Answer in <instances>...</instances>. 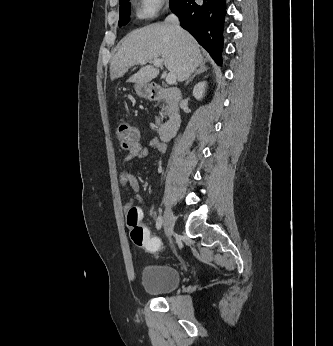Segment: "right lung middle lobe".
I'll list each match as a JSON object with an SVG mask.
<instances>
[{
  "label": "right lung middle lobe",
  "instance_id": "right-lung-middle-lobe-1",
  "mask_svg": "<svg viewBox=\"0 0 333 346\" xmlns=\"http://www.w3.org/2000/svg\"><path fill=\"white\" fill-rule=\"evenodd\" d=\"M174 0H170V4ZM129 12H130V4L129 0H120V16H119V26H123L128 23L130 17H129Z\"/></svg>",
  "mask_w": 333,
  "mask_h": 346
}]
</instances>
